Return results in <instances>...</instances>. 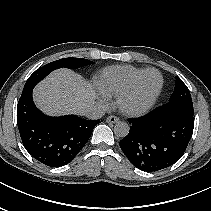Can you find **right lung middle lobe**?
Masks as SVG:
<instances>
[{
    "label": "right lung middle lobe",
    "instance_id": "1",
    "mask_svg": "<svg viewBox=\"0 0 211 211\" xmlns=\"http://www.w3.org/2000/svg\"><path fill=\"white\" fill-rule=\"evenodd\" d=\"M92 61L88 59H82V58H63L60 60L53 61L51 63L46 64L45 66L37 69L27 80L24 89L22 91V94L27 93L28 91H31L34 86L41 81L44 77H46L51 71L66 67L69 69H75L79 68L88 64H91Z\"/></svg>",
    "mask_w": 211,
    "mask_h": 211
}]
</instances>
